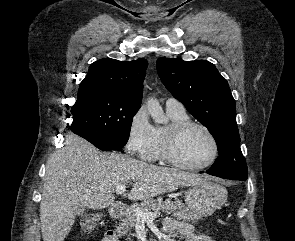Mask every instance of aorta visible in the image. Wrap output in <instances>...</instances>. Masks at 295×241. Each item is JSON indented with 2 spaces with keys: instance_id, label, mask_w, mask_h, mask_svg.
<instances>
[{
  "instance_id": "aorta-1",
  "label": "aorta",
  "mask_w": 295,
  "mask_h": 241,
  "mask_svg": "<svg viewBox=\"0 0 295 241\" xmlns=\"http://www.w3.org/2000/svg\"><path fill=\"white\" fill-rule=\"evenodd\" d=\"M146 104H147L148 112L155 123H158V124L168 123V118L164 115L163 109L157 99L149 98L147 99Z\"/></svg>"
}]
</instances>
